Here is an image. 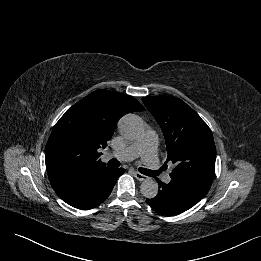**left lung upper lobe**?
Listing matches in <instances>:
<instances>
[{
  "label": "left lung upper lobe",
  "mask_w": 261,
  "mask_h": 261,
  "mask_svg": "<svg viewBox=\"0 0 261 261\" xmlns=\"http://www.w3.org/2000/svg\"><path fill=\"white\" fill-rule=\"evenodd\" d=\"M160 125L167 146V160L176 164L172 179H192L211 186L216 148L207 124L185 102L175 97L142 98Z\"/></svg>",
  "instance_id": "5c2ea615"
}]
</instances>
